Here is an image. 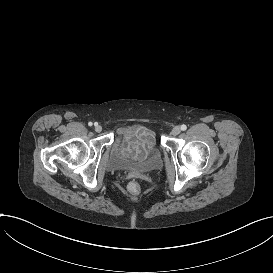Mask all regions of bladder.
<instances>
[{
    "mask_svg": "<svg viewBox=\"0 0 273 273\" xmlns=\"http://www.w3.org/2000/svg\"><path fill=\"white\" fill-rule=\"evenodd\" d=\"M120 139L121 137L119 136L110 147L109 158L107 161V166L110 170L149 173L159 170L162 167V157L157 147L147 159L142 161H130L124 158L119 152Z\"/></svg>",
    "mask_w": 273,
    "mask_h": 273,
    "instance_id": "bladder-1",
    "label": "bladder"
}]
</instances>
